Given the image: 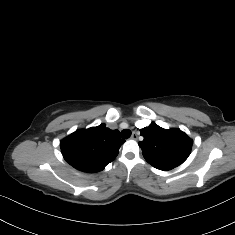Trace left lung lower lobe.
Segmentation results:
<instances>
[{
    "label": "left lung lower lobe",
    "instance_id": "left-lung-lower-lobe-1",
    "mask_svg": "<svg viewBox=\"0 0 235 235\" xmlns=\"http://www.w3.org/2000/svg\"><path fill=\"white\" fill-rule=\"evenodd\" d=\"M167 170H170V169H164V171H167Z\"/></svg>",
    "mask_w": 235,
    "mask_h": 235
}]
</instances>
